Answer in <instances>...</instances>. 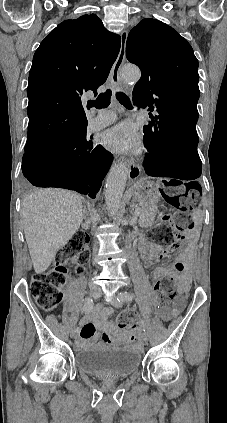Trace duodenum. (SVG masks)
Listing matches in <instances>:
<instances>
[{"label": "duodenum", "instance_id": "obj_1", "mask_svg": "<svg viewBox=\"0 0 227 423\" xmlns=\"http://www.w3.org/2000/svg\"><path fill=\"white\" fill-rule=\"evenodd\" d=\"M146 244H147V241H142L141 242V244L139 245L140 253H142V254L145 253V251H146Z\"/></svg>", "mask_w": 227, "mask_h": 423}]
</instances>
